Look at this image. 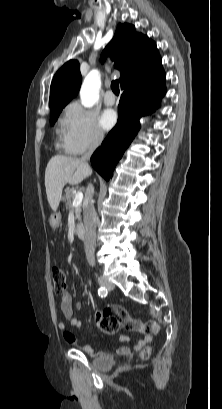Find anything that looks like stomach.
Segmentation results:
<instances>
[{
    "instance_id": "1",
    "label": "stomach",
    "mask_w": 222,
    "mask_h": 409,
    "mask_svg": "<svg viewBox=\"0 0 222 409\" xmlns=\"http://www.w3.org/2000/svg\"><path fill=\"white\" fill-rule=\"evenodd\" d=\"M60 219H61V216L59 214L53 216V218L51 219L52 226L54 227L58 226L60 223Z\"/></svg>"
}]
</instances>
